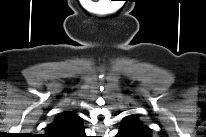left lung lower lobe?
<instances>
[{"mask_svg":"<svg viewBox=\"0 0 206 137\" xmlns=\"http://www.w3.org/2000/svg\"><path fill=\"white\" fill-rule=\"evenodd\" d=\"M118 137H138V135L135 134L134 132L124 130V129H120L119 132H118Z\"/></svg>","mask_w":206,"mask_h":137,"instance_id":"0a47b994","label":"left lung lower lobe"}]
</instances>
